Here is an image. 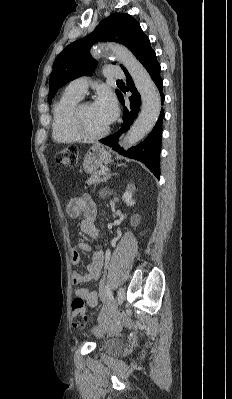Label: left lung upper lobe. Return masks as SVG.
Wrapping results in <instances>:
<instances>
[{
	"label": "left lung upper lobe",
	"instance_id": "obj_1",
	"mask_svg": "<svg viewBox=\"0 0 232 399\" xmlns=\"http://www.w3.org/2000/svg\"><path fill=\"white\" fill-rule=\"evenodd\" d=\"M114 41L125 45L136 56L148 42L139 23L130 15L113 13L99 23L87 37L69 44L57 57L49 81L48 101L57 90L66 83L82 75H91L96 61L90 55V47L94 42ZM123 71L127 70L121 66ZM119 97L121 93L116 91Z\"/></svg>",
	"mask_w": 232,
	"mask_h": 399
}]
</instances>
